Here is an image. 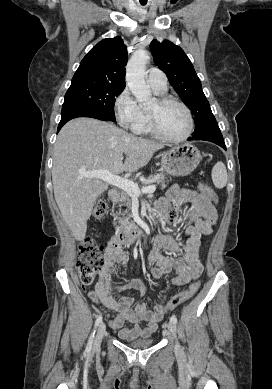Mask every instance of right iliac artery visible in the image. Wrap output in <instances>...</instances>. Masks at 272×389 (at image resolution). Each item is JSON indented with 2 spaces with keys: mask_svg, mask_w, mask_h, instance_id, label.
I'll list each match as a JSON object with an SVG mask.
<instances>
[{
  "mask_svg": "<svg viewBox=\"0 0 272 389\" xmlns=\"http://www.w3.org/2000/svg\"><path fill=\"white\" fill-rule=\"evenodd\" d=\"M102 322V315H99L96 319V322H95V328ZM94 334H95V330L92 332V334L90 335V338L88 340V343H87V346H86V349H85V352L89 353L91 351V348H92V344H93V339H94Z\"/></svg>",
  "mask_w": 272,
  "mask_h": 389,
  "instance_id": "obj_1",
  "label": "right iliac artery"
}]
</instances>
